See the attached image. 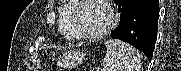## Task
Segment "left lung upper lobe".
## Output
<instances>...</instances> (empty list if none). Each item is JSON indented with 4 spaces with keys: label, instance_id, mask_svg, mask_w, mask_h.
I'll return each mask as SVG.
<instances>
[{
    "label": "left lung upper lobe",
    "instance_id": "obj_1",
    "mask_svg": "<svg viewBox=\"0 0 181 71\" xmlns=\"http://www.w3.org/2000/svg\"><path fill=\"white\" fill-rule=\"evenodd\" d=\"M116 3L119 1V0H114Z\"/></svg>",
    "mask_w": 181,
    "mask_h": 71
}]
</instances>
